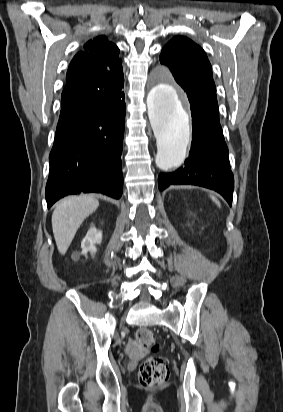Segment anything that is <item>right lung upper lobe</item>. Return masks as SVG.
I'll use <instances>...</instances> for the list:
<instances>
[{
	"label": "right lung upper lobe",
	"instance_id": "obj_1",
	"mask_svg": "<svg viewBox=\"0 0 283 412\" xmlns=\"http://www.w3.org/2000/svg\"><path fill=\"white\" fill-rule=\"evenodd\" d=\"M84 49L75 55L68 68L62 102L82 90L97 87L102 82L115 86L124 82L122 61L115 44L105 36H98L88 41Z\"/></svg>",
	"mask_w": 283,
	"mask_h": 412
}]
</instances>
